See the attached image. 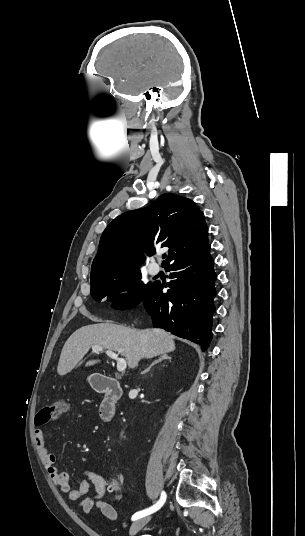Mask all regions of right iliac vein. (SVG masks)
Here are the masks:
<instances>
[{
  "instance_id": "right-iliac-vein-1",
  "label": "right iliac vein",
  "mask_w": 305,
  "mask_h": 536,
  "mask_svg": "<svg viewBox=\"0 0 305 536\" xmlns=\"http://www.w3.org/2000/svg\"><path fill=\"white\" fill-rule=\"evenodd\" d=\"M150 520V517H144L133 522L130 528V536H135L139 530L146 525Z\"/></svg>"
}]
</instances>
